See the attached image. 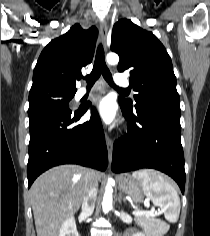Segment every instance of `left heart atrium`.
I'll use <instances>...</instances> for the list:
<instances>
[{
  "mask_svg": "<svg viewBox=\"0 0 210 236\" xmlns=\"http://www.w3.org/2000/svg\"><path fill=\"white\" fill-rule=\"evenodd\" d=\"M93 114L106 124H112L116 119L115 104L110 98L97 101L93 108Z\"/></svg>",
  "mask_w": 210,
  "mask_h": 236,
  "instance_id": "obj_1",
  "label": "left heart atrium"
}]
</instances>
